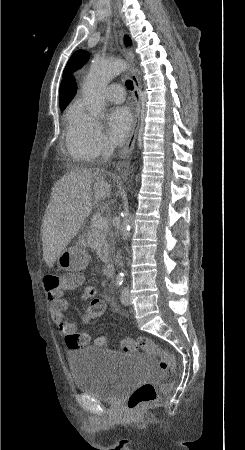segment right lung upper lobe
<instances>
[{"instance_id":"1","label":"right lung upper lobe","mask_w":245,"mask_h":450,"mask_svg":"<svg viewBox=\"0 0 245 450\" xmlns=\"http://www.w3.org/2000/svg\"><path fill=\"white\" fill-rule=\"evenodd\" d=\"M77 91L75 80L69 76L62 80L59 91L60 108L66 107Z\"/></svg>"}]
</instances>
